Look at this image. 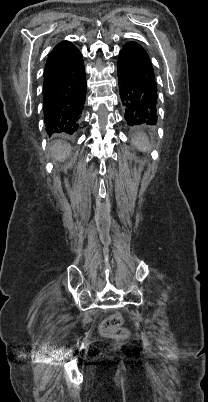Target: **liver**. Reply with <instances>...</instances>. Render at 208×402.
Here are the masks:
<instances>
[{"instance_id": "1", "label": "liver", "mask_w": 208, "mask_h": 402, "mask_svg": "<svg viewBox=\"0 0 208 402\" xmlns=\"http://www.w3.org/2000/svg\"><path fill=\"white\" fill-rule=\"evenodd\" d=\"M69 146L65 142H55L52 146V156L58 162H64L68 156Z\"/></svg>"}]
</instances>
